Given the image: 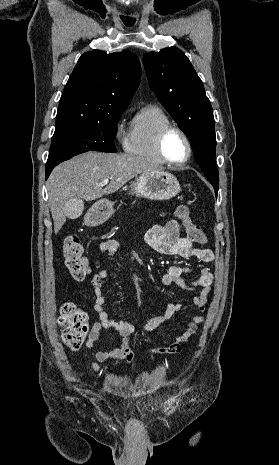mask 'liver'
I'll return each instance as SVG.
<instances>
[{"mask_svg":"<svg viewBox=\"0 0 279 465\" xmlns=\"http://www.w3.org/2000/svg\"><path fill=\"white\" fill-rule=\"evenodd\" d=\"M158 169L147 159L132 154L87 152L56 166L48 181V199L57 234L66 221L70 200L92 201L118 191L125 183L143 173ZM110 182L102 188L100 184ZM83 211V201L82 210Z\"/></svg>","mask_w":279,"mask_h":465,"instance_id":"obj_1","label":"liver"}]
</instances>
